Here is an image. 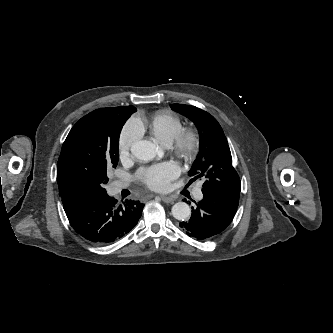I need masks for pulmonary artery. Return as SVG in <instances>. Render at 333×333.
<instances>
[{"mask_svg": "<svg viewBox=\"0 0 333 333\" xmlns=\"http://www.w3.org/2000/svg\"><path fill=\"white\" fill-rule=\"evenodd\" d=\"M126 186L125 183L121 182V181H116L112 184V190L113 192H119L122 188H124ZM195 198L197 200H201L202 199V193H201V189L197 188L194 194Z\"/></svg>", "mask_w": 333, "mask_h": 333, "instance_id": "pulmonary-artery-1", "label": "pulmonary artery"}]
</instances>
